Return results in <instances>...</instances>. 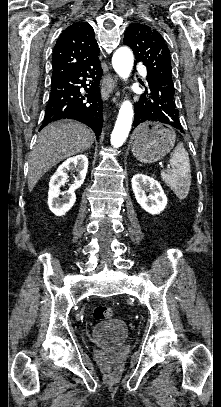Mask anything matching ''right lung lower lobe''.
I'll return each mask as SVG.
<instances>
[{
	"label": "right lung lower lobe",
	"instance_id": "right-lung-lower-lobe-1",
	"mask_svg": "<svg viewBox=\"0 0 221 407\" xmlns=\"http://www.w3.org/2000/svg\"><path fill=\"white\" fill-rule=\"evenodd\" d=\"M99 58L51 81V93L40 130L60 119H74L89 126L98 139L102 130L103 102Z\"/></svg>",
	"mask_w": 221,
	"mask_h": 407
}]
</instances>
